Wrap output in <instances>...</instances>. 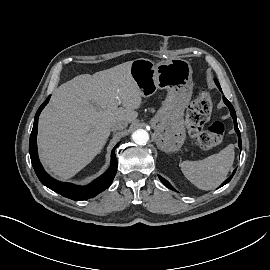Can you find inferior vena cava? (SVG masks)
Masks as SVG:
<instances>
[{
	"mask_svg": "<svg viewBox=\"0 0 270 270\" xmlns=\"http://www.w3.org/2000/svg\"><path fill=\"white\" fill-rule=\"evenodd\" d=\"M127 127V122L125 121H115L111 125V130L116 131V130H122Z\"/></svg>",
	"mask_w": 270,
	"mask_h": 270,
	"instance_id": "602c4592",
	"label": "inferior vena cava"
}]
</instances>
